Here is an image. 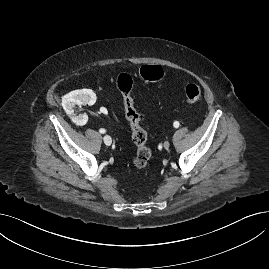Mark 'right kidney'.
<instances>
[{"mask_svg":"<svg viewBox=\"0 0 269 269\" xmlns=\"http://www.w3.org/2000/svg\"><path fill=\"white\" fill-rule=\"evenodd\" d=\"M96 102V94L91 89L74 90L62 97V106L68 115H72L75 105L88 104L93 105ZM82 123L87 122V115L79 116Z\"/></svg>","mask_w":269,"mask_h":269,"instance_id":"1","label":"right kidney"}]
</instances>
